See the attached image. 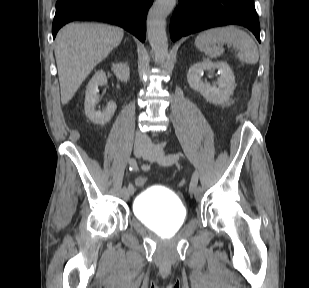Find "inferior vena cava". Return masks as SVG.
I'll return each mask as SVG.
<instances>
[{"instance_id":"obj_1","label":"inferior vena cava","mask_w":309,"mask_h":288,"mask_svg":"<svg viewBox=\"0 0 309 288\" xmlns=\"http://www.w3.org/2000/svg\"><path fill=\"white\" fill-rule=\"evenodd\" d=\"M150 139L146 134L136 133L135 143L136 144H149Z\"/></svg>"}]
</instances>
